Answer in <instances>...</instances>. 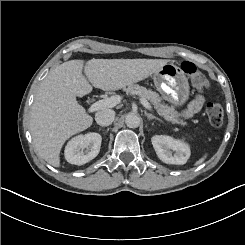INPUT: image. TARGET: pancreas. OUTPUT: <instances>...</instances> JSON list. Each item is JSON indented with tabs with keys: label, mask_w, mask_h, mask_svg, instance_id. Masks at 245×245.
<instances>
[{
	"label": "pancreas",
	"mask_w": 245,
	"mask_h": 245,
	"mask_svg": "<svg viewBox=\"0 0 245 245\" xmlns=\"http://www.w3.org/2000/svg\"><path fill=\"white\" fill-rule=\"evenodd\" d=\"M122 90L127 95L134 94L150 101L152 104L155 105V108L157 109L159 115L163 116L167 121H172L174 123L184 125L183 123L175 119L176 115L174 107L159 104L161 101L159 94L152 91V89L139 86L138 84H129L127 86H124Z\"/></svg>",
	"instance_id": "1"
}]
</instances>
